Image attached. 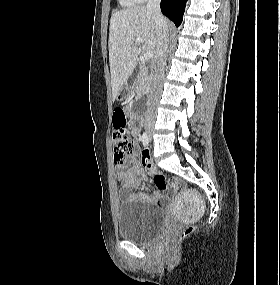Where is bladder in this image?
<instances>
[{"label":"bladder","mask_w":280,"mask_h":285,"mask_svg":"<svg viewBox=\"0 0 280 285\" xmlns=\"http://www.w3.org/2000/svg\"><path fill=\"white\" fill-rule=\"evenodd\" d=\"M117 223L122 238L137 244H146L160 233L165 217L154 205L134 199L119 205Z\"/></svg>","instance_id":"31cf9c89"}]
</instances>
